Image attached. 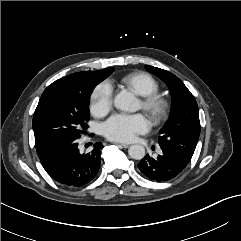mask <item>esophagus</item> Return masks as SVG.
<instances>
[{
	"label": "esophagus",
	"instance_id": "esophagus-1",
	"mask_svg": "<svg viewBox=\"0 0 241 241\" xmlns=\"http://www.w3.org/2000/svg\"><path fill=\"white\" fill-rule=\"evenodd\" d=\"M116 144L123 148H128L130 146L129 144H124V143H116Z\"/></svg>",
	"mask_w": 241,
	"mask_h": 241
}]
</instances>
